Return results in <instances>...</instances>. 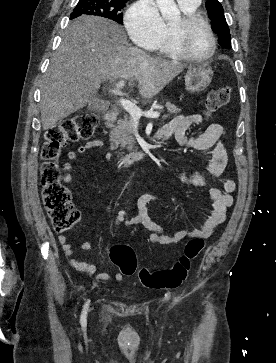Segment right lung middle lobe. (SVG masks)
<instances>
[{"label":"right lung middle lobe","instance_id":"obj_1","mask_svg":"<svg viewBox=\"0 0 276 363\" xmlns=\"http://www.w3.org/2000/svg\"><path fill=\"white\" fill-rule=\"evenodd\" d=\"M127 1L119 0H79L70 19L81 15L101 16L123 24L124 7Z\"/></svg>","mask_w":276,"mask_h":363}]
</instances>
